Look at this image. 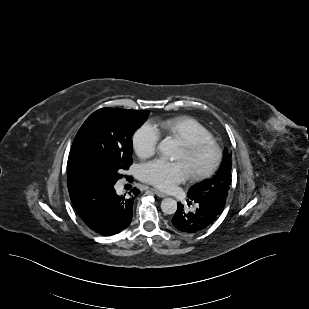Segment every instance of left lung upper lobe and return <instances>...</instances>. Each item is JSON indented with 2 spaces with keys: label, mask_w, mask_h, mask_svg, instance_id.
<instances>
[{
  "label": "left lung upper lobe",
  "mask_w": 309,
  "mask_h": 309,
  "mask_svg": "<svg viewBox=\"0 0 309 309\" xmlns=\"http://www.w3.org/2000/svg\"><path fill=\"white\" fill-rule=\"evenodd\" d=\"M231 155L224 150V158L220 170L212 178L192 186L188 197L198 201H208L225 206L229 185L231 184Z\"/></svg>",
  "instance_id": "obj_1"
}]
</instances>
